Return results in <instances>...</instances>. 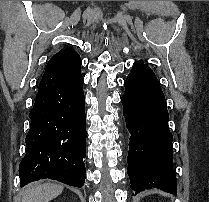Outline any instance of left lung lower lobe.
Segmentation results:
<instances>
[{
	"label": "left lung lower lobe",
	"instance_id": "1",
	"mask_svg": "<svg viewBox=\"0 0 209 202\" xmlns=\"http://www.w3.org/2000/svg\"><path fill=\"white\" fill-rule=\"evenodd\" d=\"M123 114L131 133L128 175L131 189L139 193L159 188L177 193L173 170V136L168 126L167 103L154 72L136 62L124 81Z\"/></svg>",
	"mask_w": 209,
	"mask_h": 202
}]
</instances>
